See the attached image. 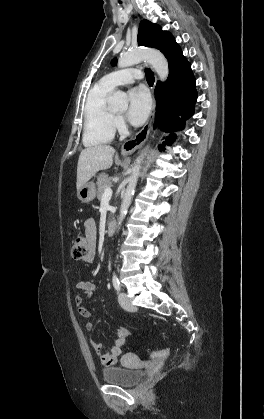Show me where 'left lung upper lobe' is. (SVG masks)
Returning a JSON list of instances; mask_svg holds the SVG:
<instances>
[{"label":"left lung upper lobe","instance_id":"1","mask_svg":"<svg viewBox=\"0 0 264 419\" xmlns=\"http://www.w3.org/2000/svg\"><path fill=\"white\" fill-rule=\"evenodd\" d=\"M175 43L174 37L167 31H163L157 24H153L148 20H143L139 25L138 44L159 49L162 53L170 51ZM116 60L111 61L114 66Z\"/></svg>","mask_w":264,"mask_h":419}]
</instances>
